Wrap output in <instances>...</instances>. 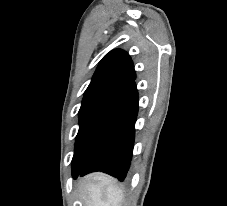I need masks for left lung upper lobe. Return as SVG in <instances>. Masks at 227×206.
Returning <instances> with one entry per match:
<instances>
[{"mask_svg": "<svg viewBox=\"0 0 227 206\" xmlns=\"http://www.w3.org/2000/svg\"><path fill=\"white\" fill-rule=\"evenodd\" d=\"M135 78L133 62L121 49L110 51L99 62L79 110V131L72 167L88 153L92 135L107 106Z\"/></svg>", "mask_w": 227, "mask_h": 206, "instance_id": "5c2ea615", "label": "left lung upper lobe"}]
</instances>
